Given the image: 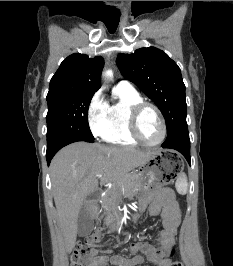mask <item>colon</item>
Returning <instances> with one entry per match:
<instances>
[{
    "mask_svg": "<svg viewBox=\"0 0 233 266\" xmlns=\"http://www.w3.org/2000/svg\"><path fill=\"white\" fill-rule=\"evenodd\" d=\"M106 233H108V231L97 230L92 235L86 237L84 240L77 242L76 249L71 256V266H82L80 260L81 256L86 255L90 251L92 245L99 242ZM173 253V248H170L167 251V254L169 256H172ZM170 266H183V264L180 261H174L170 263Z\"/></svg>",
    "mask_w": 233,
    "mask_h": 266,
    "instance_id": "obj_1",
    "label": "colon"
}]
</instances>
